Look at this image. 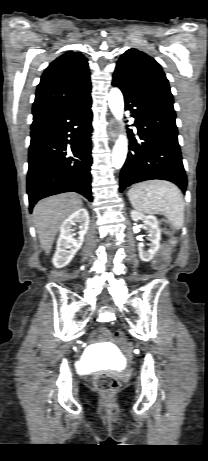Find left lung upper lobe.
<instances>
[{
  "label": "left lung upper lobe",
  "mask_w": 208,
  "mask_h": 461,
  "mask_svg": "<svg viewBox=\"0 0 208 461\" xmlns=\"http://www.w3.org/2000/svg\"><path fill=\"white\" fill-rule=\"evenodd\" d=\"M113 81L134 95L174 103L168 80L159 63L137 49H129L121 55Z\"/></svg>",
  "instance_id": "left-lung-upper-lobe-1"
}]
</instances>
